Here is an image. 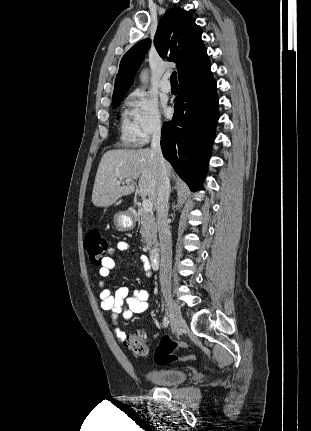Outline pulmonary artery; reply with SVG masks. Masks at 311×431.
I'll use <instances>...</instances> for the list:
<instances>
[{
  "instance_id": "obj_1",
  "label": "pulmonary artery",
  "mask_w": 311,
  "mask_h": 431,
  "mask_svg": "<svg viewBox=\"0 0 311 431\" xmlns=\"http://www.w3.org/2000/svg\"><path fill=\"white\" fill-rule=\"evenodd\" d=\"M161 90L165 93H170L172 91V85L169 81L168 74H165L160 82Z\"/></svg>"
}]
</instances>
